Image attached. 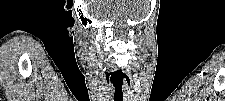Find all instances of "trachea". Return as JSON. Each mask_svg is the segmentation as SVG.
<instances>
[{
  "label": "trachea",
  "instance_id": "trachea-1",
  "mask_svg": "<svg viewBox=\"0 0 225 101\" xmlns=\"http://www.w3.org/2000/svg\"><path fill=\"white\" fill-rule=\"evenodd\" d=\"M114 101H123L122 85L115 87Z\"/></svg>",
  "mask_w": 225,
  "mask_h": 101
}]
</instances>
